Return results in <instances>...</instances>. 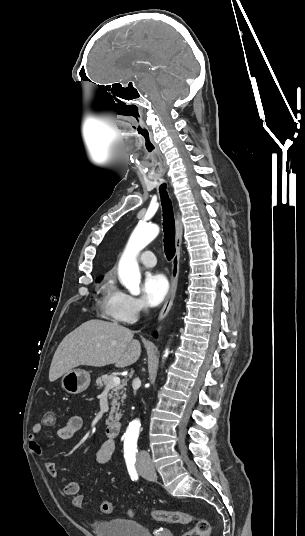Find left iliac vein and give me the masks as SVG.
Segmentation results:
<instances>
[{"mask_svg": "<svg viewBox=\"0 0 305 536\" xmlns=\"http://www.w3.org/2000/svg\"><path fill=\"white\" fill-rule=\"evenodd\" d=\"M137 471L140 475L152 481L156 479V473H155L154 467H149L147 469H144L141 466L137 465Z\"/></svg>", "mask_w": 305, "mask_h": 536, "instance_id": "4c4485c4", "label": "left iliac vein"}]
</instances>
